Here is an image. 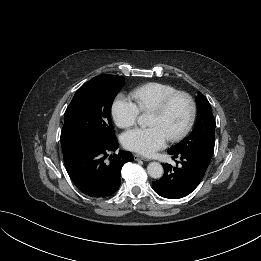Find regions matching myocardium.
I'll return each instance as SVG.
<instances>
[{"label": "myocardium", "instance_id": "myocardium-1", "mask_svg": "<svg viewBox=\"0 0 261 261\" xmlns=\"http://www.w3.org/2000/svg\"><path fill=\"white\" fill-rule=\"evenodd\" d=\"M179 98H184L189 104V116L185 126L176 134H173L169 137L171 141H177L185 137L190 129L192 128L195 118L197 106L194 98L186 92H176L171 96L167 97L159 106L152 110V113L158 115H164L172 106V104Z\"/></svg>", "mask_w": 261, "mask_h": 261}]
</instances>
